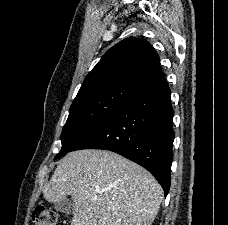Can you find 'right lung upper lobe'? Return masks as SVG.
Masks as SVG:
<instances>
[{
    "mask_svg": "<svg viewBox=\"0 0 228 225\" xmlns=\"http://www.w3.org/2000/svg\"><path fill=\"white\" fill-rule=\"evenodd\" d=\"M161 73L159 56L149 42L130 37L105 53L86 76L78 93L110 82H123L141 89Z\"/></svg>",
    "mask_w": 228,
    "mask_h": 225,
    "instance_id": "obj_1",
    "label": "right lung upper lobe"
}]
</instances>
